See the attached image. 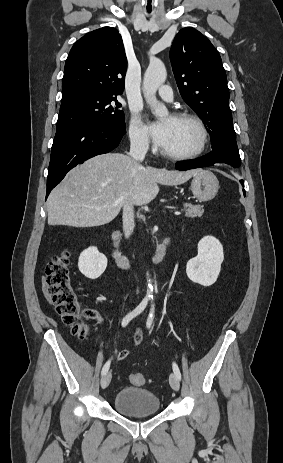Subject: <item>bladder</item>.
<instances>
[{"mask_svg": "<svg viewBox=\"0 0 283 463\" xmlns=\"http://www.w3.org/2000/svg\"><path fill=\"white\" fill-rule=\"evenodd\" d=\"M115 409L122 415L140 418L160 412L161 402L158 396L141 387H124L113 398Z\"/></svg>", "mask_w": 283, "mask_h": 463, "instance_id": "bladder-1", "label": "bladder"}]
</instances>
